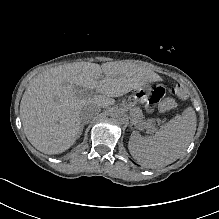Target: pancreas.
<instances>
[{"label": "pancreas", "mask_w": 219, "mask_h": 219, "mask_svg": "<svg viewBox=\"0 0 219 219\" xmlns=\"http://www.w3.org/2000/svg\"><path fill=\"white\" fill-rule=\"evenodd\" d=\"M131 120L134 121L133 124L135 125H145L147 127H153V124H152V120H141L140 119V108L139 107H132L131 108Z\"/></svg>", "instance_id": "pancreas-1"}]
</instances>
